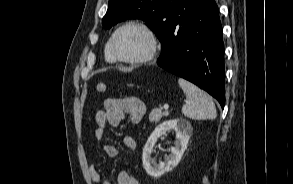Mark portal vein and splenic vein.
Returning <instances> with one entry per match:
<instances>
[{
    "label": "portal vein and splenic vein",
    "mask_w": 293,
    "mask_h": 184,
    "mask_svg": "<svg viewBox=\"0 0 293 184\" xmlns=\"http://www.w3.org/2000/svg\"><path fill=\"white\" fill-rule=\"evenodd\" d=\"M163 108H164L165 110H168L169 105H168V104H164Z\"/></svg>",
    "instance_id": "obj_1"
}]
</instances>
